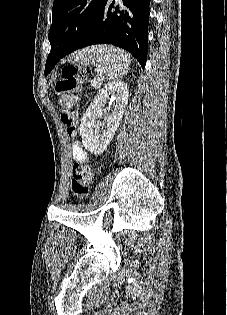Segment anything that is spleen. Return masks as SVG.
<instances>
[{
    "mask_svg": "<svg viewBox=\"0 0 227 315\" xmlns=\"http://www.w3.org/2000/svg\"><path fill=\"white\" fill-rule=\"evenodd\" d=\"M80 60L91 61L93 65L98 67L99 73L106 74L110 81L122 78L128 72L130 65V58L126 52L108 46H96L91 49H83L75 52L69 58L71 62ZM93 86L96 87L97 85ZM76 100V96L66 98L69 104H74Z\"/></svg>",
    "mask_w": 227,
    "mask_h": 315,
    "instance_id": "1",
    "label": "spleen"
}]
</instances>
